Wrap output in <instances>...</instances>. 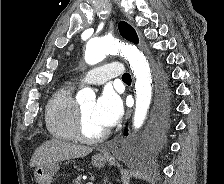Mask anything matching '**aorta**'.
<instances>
[{
	"label": "aorta",
	"instance_id": "1",
	"mask_svg": "<svg viewBox=\"0 0 224 184\" xmlns=\"http://www.w3.org/2000/svg\"><path fill=\"white\" fill-rule=\"evenodd\" d=\"M110 53H121L133 71L136 90L133 127L138 129L143 125L152 97V78L148 61L136 46L107 37L92 38L87 42L85 61L89 65H95ZM93 96L94 92L90 88L82 89L77 95L80 99Z\"/></svg>",
	"mask_w": 224,
	"mask_h": 184
}]
</instances>
